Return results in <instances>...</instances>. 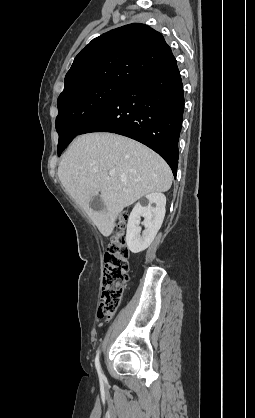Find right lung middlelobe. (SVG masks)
Returning <instances> with one entry per match:
<instances>
[{
  "mask_svg": "<svg viewBox=\"0 0 255 418\" xmlns=\"http://www.w3.org/2000/svg\"><path fill=\"white\" fill-rule=\"evenodd\" d=\"M128 84L96 81L61 94L57 101L58 156L82 129Z\"/></svg>",
  "mask_w": 255,
  "mask_h": 418,
  "instance_id": "right-lung-middle-lobe-1",
  "label": "right lung middle lobe"
}]
</instances>
